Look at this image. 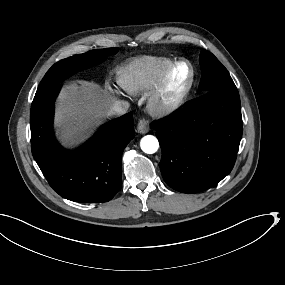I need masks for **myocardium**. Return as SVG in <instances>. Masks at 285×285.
Here are the masks:
<instances>
[{
    "mask_svg": "<svg viewBox=\"0 0 285 285\" xmlns=\"http://www.w3.org/2000/svg\"><path fill=\"white\" fill-rule=\"evenodd\" d=\"M176 74H178V70L171 67L159 82L146 93L144 98L145 108L152 115L165 116L178 109L186 100L193 84V72L191 70H189L188 80L183 82L179 94L170 101L163 99L168 85L175 78Z\"/></svg>",
    "mask_w": 285,
    "mask_h": 285,
    "instance_id": "f54148a6",
    "label": "myocardium"
}]
</instances>
